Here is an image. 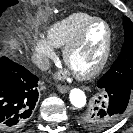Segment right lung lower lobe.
<instances>
[{"mask_svg":"<svg viewBox=\"0 0 133 133\" xmlns=\"http://www.w3.org/2000/svg\"><path fill=\"white\" fill-rule=\"evenodd\" d=\"M38 78L7 57L0 59V130H14L31 116Z\"/></svg>","mask_w":133,"mask_h":133,"instance_id":"obj_1","label":"right lung lower lobe"}]
</instances>
